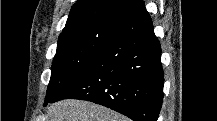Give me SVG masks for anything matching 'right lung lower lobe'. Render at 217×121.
Returning <instances> with one entry per match:
<instances>
[{"mask_svg": "<svg viewBox=\"0 0 217 121\" xmlns=\"http://www.w3.org/2000/svg\"><path fill=\"white\" fill-rule=\"evenodd\" d=\"M161 47L145 10L44 105L66 98L109 107L135 121H157L163 101Z\"/></svg>", "mask_w": 217, "mask_h": 121, "instance_id": "obj_1", "label": "right lung lower lobe"}]
</instances>
